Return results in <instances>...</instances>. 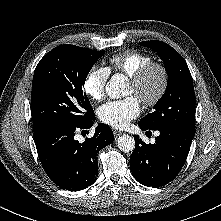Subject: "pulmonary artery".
Here are the masks:
<instances>
[{
  "label": "pulmonary artery",
  "instance_id": "pulmonary-artery-1",
  "mask_svg": "<svg viewBox=\"0 0 221 221\" xmlns=\"http://www.w3.org/2000/svg\"><path fill=\"white\" fill-rule=\"evenodd\" d=\"M159 135V133H156V136H158Z\"/></svg>",
  "mask_w": 221,
  "mask_h": 221
}]
</instances>
